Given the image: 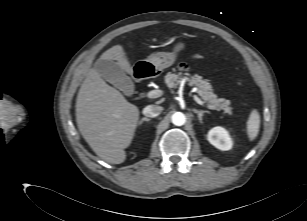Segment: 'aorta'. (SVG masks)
Masks as SVG:
<instances>
[{
	"mask_svg": "<svg viewBox=\"0 0 307 221\" xmlns=\"http://www.w3.org/2000/svg\"><path fill=\"white\" fill-rule=\"evenodd\" d=\"M171 121L176 126H182L186 122V116L182 112H175L171 116Z\"/></svg>",
	"mask_w": 307,
	"mask_h": 221,
	"instance_id": "762f6f07",
	"label": "aorta"
}]
</instances>
